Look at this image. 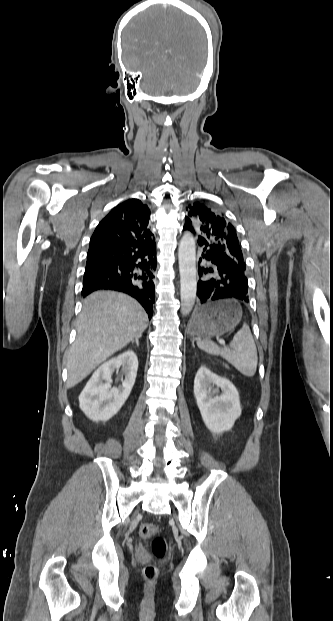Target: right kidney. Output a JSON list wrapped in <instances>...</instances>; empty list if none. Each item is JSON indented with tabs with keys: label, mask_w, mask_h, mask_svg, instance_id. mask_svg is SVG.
Masks as SVG:
<instances>
[{
	"label": "right kidney",
	"mask_w": 333,
	"mask_h": 621,
	"mask_svg": "<svg viewBox=\"0 0 333 621\" xmlns=\"http://www.w3.org/2000/svg\"><path fill=\"white\" fill-rule=\"evenodd\" d=\"M120 367L125 379L122 380V385L111 387V376ZM137 369L138 359L132 350H127L103 363L79 395L80 409L93 421H107L112 418L130 395Z\"/></svg>",
	"instance_id": "ca27d5eb"
}]
</instances>
